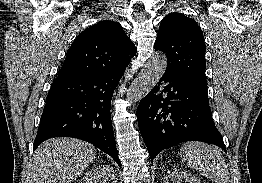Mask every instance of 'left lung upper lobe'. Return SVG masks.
<instances>
[{
	"instance_id": "1",
	"label": "left lung upper lobe",
	"mask_w": 262,
	"mask_h": 183,
	"mask_svg": "<svg viewBox=\"0 0 262 183\" xmlns=\"http://www.w3.org/2000/svg\"><path fill=\"white\" fill-rule=\"evenodd\" d=\"M154 47L166 54L168 72L207 89L203 32L193 19L177 12L166 15Z\"/></svg>"
}]
</instances>
